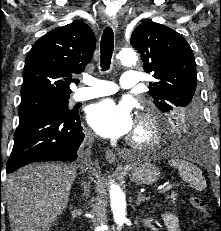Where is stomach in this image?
Segmentation results:
<instances>
[{
	"mask_svg": "<svg viewBox=\"0 0 221 231\" xmlns=\"http://www.w3.org/2000/svg\"><path fill=\"white\" fill-rule=\"evenodd\" d=\"M129 178L135 184L148 186L159 180L160 171L150 163H143L131 170Z\"/></svg>",
	"mask_w": 221,
	"mask_h": 231,
	"instance_id": "1",
	"label": "stomach"
}]
</instances>
